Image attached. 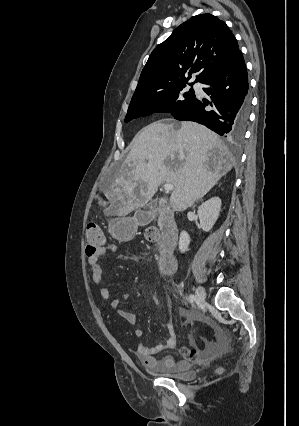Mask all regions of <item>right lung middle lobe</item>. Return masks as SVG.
Masks as SVG:
<instances>
[{
  "label": "right lung middle lobe",
  "instance_id": "obj_1",
  "mask_svg": "<svg viewBox=\"0 0 299 426\" xmlns=\"http://www.w3.org/2000/svg\"><path fill=\"white\" fill-rule=\"evenodd\" d=\"M185 87L186 84L175 85L131 101L125 122L154 112L177 113L195 97L194 90L188 91Z\"/></svg>",
  "mask_w": 299,
  "mask_h": 426
}]
</instances>
